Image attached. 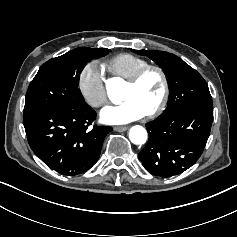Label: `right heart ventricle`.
<instances>
[{"instance_id": "right-heart-ventricle-1", "label": "right heart ventricle", "mask_w": 237, "mask_h": 237, "mask_svg": "<svg viewBox=\"0 0 237 237\" xmlns=\"http://www.w3.org/2000/svg\"><path fill=\"white\" fill-rule=\"evenodd\" d=\"M146 65H148L147 60L130 53L117 54L110 58L107 63L111 74L123 79H128Z\"/></svg>"}]
</instances>
